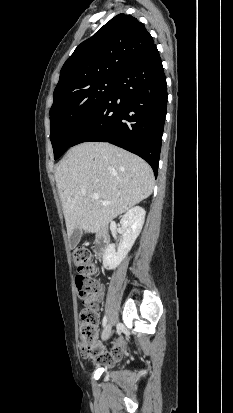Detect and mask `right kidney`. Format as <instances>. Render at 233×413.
Here are the masks:
<instances>
[{
	"label": "right kidney",
	"mask_w": 233,
	"mask_h": 413,
	"mask_svg": "<svg viewBox=\"0 0 233 413\" xmlns=\"http://www.w3.org/2000/svg\"><path fill=\"white\" fill-rule=\"evenodd\" d=\"M145 215L146 211L142 207L135 206L122 216V242L117 251L114 244H109L103 254V266L107 270L115 269L125 259L142 230Z\"/></svg>",
	"instance_id": "right-kidney-1"
}]
</instances>
